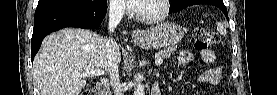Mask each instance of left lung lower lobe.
Wrapping results in <instances>:
<instances>
[{"label":"left lung lower lobe","instance_id":"1","mask_svg":"<svg viewBox=\"0 0 277 95\" xmlns=\"http://www.w3.org/2000/svg\"><path fill=\"white\" fill-rule=\"evenodd\" d=\"M196 4H209V5H213L218 7L219 9H221V11L225 14V16L228 19V12L227 9L223 3L222 0H188L186 3H184L182 6L173 9L171 11H169L170 14L177 12L185 7L191 6V5H196Z\"/></svg>","mask_w":277,"mask_h":95}]
</instances>
